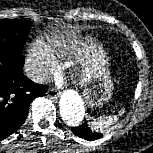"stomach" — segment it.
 <instances>
[{
    "instance_id": "0dacf381",
    "label": "stomach",
    "mask_w": 153,
    "mask_h": 153,
    "mask_svg": "<svg viewBox=\"0 0 153 153\" xmlns=\"http://www.w3.org/2000/svg\"><path fill=\"white\" fill-rule=\"evenodd\" d=\"M81 87L86 102L90 106H101L107 102L113 91V82L108 69V59L103 47L88 36L82 43Z\"/></svg>"
}]
</instances>
